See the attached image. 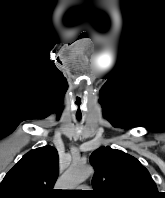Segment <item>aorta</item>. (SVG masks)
Returning a JSON list of instances; mask_svg holds the SVG:
<instances>
[{
    "label": "aorta",
    "instance_id": "obj_1",
    "mask_svg": "<svg viewBox=\"0 0 165 198\" xmlns=\"http://www.w3.org/2000/svg\"><path fill=\"white\" fill-rule=\"evenodd\" d=\"M93 173L94 170L92 167L80 162H73L62 175L59 185L64 189H74L88 179Z\"/></svg>",
    "mask_w": 165,
    "mask_h": 198
}]
</instances>
